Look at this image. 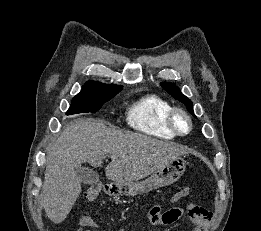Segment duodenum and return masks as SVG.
Masks as SVG:
<instances>
[{
	"instance_id": "1",
	"label": "duodenum",
	"mask_w": 261,
	"mask_h": 231,
	"mask_svg": "<svg viewBox=\"0 0 261 231\" xmlns=\"http://www.w3.org/2000/svg\"><path fill=\"white\" fill-rule=\"evenodd\" d=\"M102 189H103V191H104L105 193H108V192H109L107 185H104V186L102 187Z\"/></svg>"
}]
</instances>
